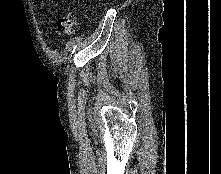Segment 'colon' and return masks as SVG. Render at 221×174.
Wrapping results in <instances>:
<instances>
[{"mask_svg":"<svg viewBox=\"0 0 221 174\" xmlns=\"http://www.w3.org/2000/svg\"><path fill=\"white\" fill-rule=\"evenodd\" d=\"M78 21L75 12L67 9L65 14L57 20V32L59 35H71L77 27Z\"/></svg>","mask_w":221,"mask_h":174,"instance_id":"colon-1","label":"colon"}]
</instances>
